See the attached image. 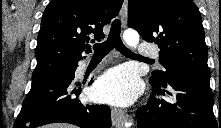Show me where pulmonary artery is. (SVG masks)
<instances>
[{
	"label": "pulmonary artery",
	"mask_w": 221,
	"mask_h": 128,
	"mask_svg": "<svg viewBox=\"0 0 221 128\" xmlns=\"http://www.w3.org/2000/svg\"><path fill=\"white\" fill-rule=\"evenodd\" d=\"M138 57L140 60H149L153 57H158V52L154 47H140L138 51Z\"/></svg>",
	"instance_id": "e3ab8cb5"
}]
</instances>
